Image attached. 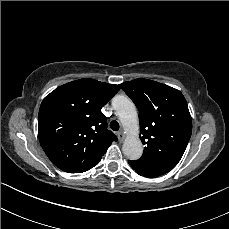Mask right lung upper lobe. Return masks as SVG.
<instances>
[{
  "instance_id": "obj_1",
  "label": "right lung upper lobe",
  "mask_w": 229,
  "mask_h": 229,
  "mask_svg": "<svg viewBox=\"0 0 229 229\" xmlns=\"http://www.w3.org/2000/svg\"><path fill=\"white\" fill-rule=\"evenodd\" d=\"M119 86L85 78L64 84L45 97L38 114L40 144L51 162L68 173L91 169L116 136L101 108Z\"/></svg>"
}]
</instances>
